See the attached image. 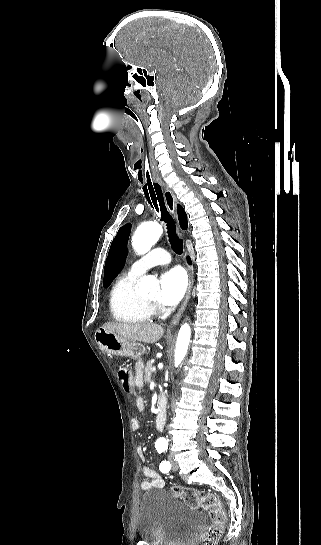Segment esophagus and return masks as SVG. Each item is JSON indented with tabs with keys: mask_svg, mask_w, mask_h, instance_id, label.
<instances>
[{
	"mask_svg": "<svg viewBox=\"0 0 321 545\" xmlns=\"http://www.w3.org/2000/svg\"><path fill=\"white\" fill-rule=\"evenodd\" d=\"M164 198H165V203L167 205L168 210L176 218L177 217V211H176L177 199H176V196L174 195V193L172 192V190L169 187H165V189H164ZM193 278H194L193 269L191 267H188V288H187V293H186V296L184 298V301L182 302V305H181L180 309L178 310V312L174 316V318L171 320V322L169 324V328L174 327L180 321L182 313L184 312V310L186 308V305H187V303H188V301L190 299L191 290H192V286H193Z\"/></svg>",
	"mask_w": 321,
	"mask_h": 545,
	"instance_id": "1",
	"label": "esophagus"
}]
</instances>
